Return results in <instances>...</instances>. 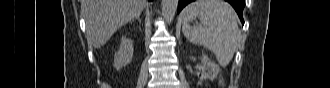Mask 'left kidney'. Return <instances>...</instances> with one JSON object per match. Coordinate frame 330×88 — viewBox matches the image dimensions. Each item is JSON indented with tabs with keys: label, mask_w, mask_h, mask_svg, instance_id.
<instances>
[{
	"label": "left kidney",
	"mask_w": 330,
	"mask_h": 88,
	"mask_svg": "<svg viewBox=\"0 0 330 88\" xmlns=\"http://www.w3.org/2000/svg\"><path fill=\"white\" fill-rule=\"evenodd\" d=\"M201 62L203 65L209 67L212 71L211 74H201L200 79L201 80H205V79H213L217 76V74L219 73V66L211 61H208V57L205 55H202L201 57Z\"/></svg>",
	"instance_id": "1"
}]
</instances>
